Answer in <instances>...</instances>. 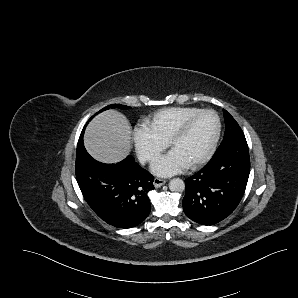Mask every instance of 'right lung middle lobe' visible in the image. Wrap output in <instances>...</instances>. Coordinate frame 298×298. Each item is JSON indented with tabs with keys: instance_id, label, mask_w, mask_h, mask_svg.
<instances>
[{
	"instance_id": "1",
	"label": "right lung middle lobe",
	"mask_w": 298,
	"mask_h": 298,
	"mask_svg": "<svg viewBox=\"0 0 298 298\" xmlns=\"http://www.w3.org/2000/svg\"><path fill=\"white\" fill-rule=\"evenodd\" d=\"M110 108H120V109H125V108H127V106H125V105H120V104H112V105H108V106H106L105 108H103L102 110H100L99 112H97L95 115H97L98 113H100V112H102V111H104V110H107V109H110ZM94 115V116H95ZM93 116V117H94ZM92 117V118H93ZM91 118V119H92Z\"/></svg>"
}]
</instances>
